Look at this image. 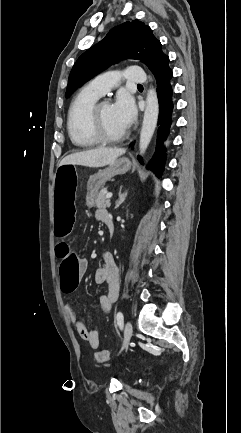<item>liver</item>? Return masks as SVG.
I'll use <instances>...</instances> for the list:
<instances>
[{"label":"liver","instance_id":"liver-1","mask_svg":"<svg viewBox=\"0 0 241 433\" xmlns=\"http://www.w3.org/2000/svg\"><path fill=\"white\" fill-rule=\"evenodd\" d=\"M125 152L126 150L121 148H97L70 154L61 160L60 165L73 164L86 167H103L113 163Z\"/></svg>","mask_w":241,"mask_h":433}]
</instances>
